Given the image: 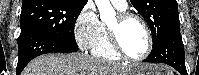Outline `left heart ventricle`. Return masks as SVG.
Returning a JSON list of instances; mask_svg holds the SVG:
<instances>
[{
  "label": "left heart ventricle",
  "mask_w": 199,
  "mask_h": 75,
  "mask_svg": "<svg viewBox=\"0 0 199 75\" xmlns=\"http://www.w3.org/2000/svg\"><path fill=\"white\" fill-rule=\"evenodd\" d=\"M116 25V18L109 26ZM120 42L125 51L133 57L142 55L147 48V37L141 24L136 20H129L118 28Z\"/></svg>",
  "instance_id": "1"
}]
</instances>
